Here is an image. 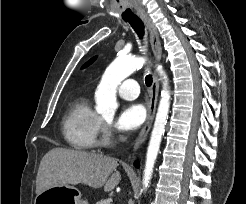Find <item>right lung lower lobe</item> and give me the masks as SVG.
<instances>
[{"mask_svg":"<svg viewBox=\"0 0 246 204\" xmlns=\"http://www.w3.org/2000/svg\"><path fill=\"white\" fill-rule=\"evenodd\" d=\"M137 167L139 166L138 163L135 164Z\"/></svg>","mask_w":246,"mask_h":204,"instance_id":"obj_1","label":"right lung lower lobe"}]
</instances>
